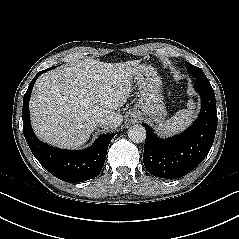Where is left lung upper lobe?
Instances as JSON below:
<instances>
[{
  "label": "left lung upper lobe",
  "mask_w": 239,
  "mask_h": 239,
  "mask_svg": "<svg viewBox=\"0 0 239 239\" xmlns=\"http://www.w3.org/2000/svg\"><path fill=\"white\" fill-rule=\"evenodd\" d=\"M187 70L196 78V82L209 83L202 69L185 62Z\"/></svg>",
  "instance_id": "obj_1"
}]
</instances>
